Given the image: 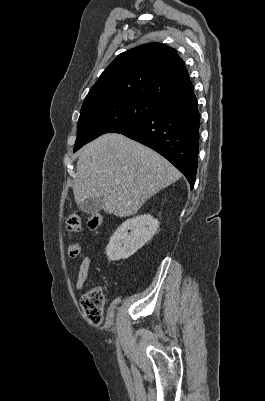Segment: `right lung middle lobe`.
Masks as SVG:
<instances>
[{"mask_svg": "<svg viewBox=\"0 0 265 401\" xmlns=\"http://www.w3.org/2000/svg\"><path fill=\"white\" fill-rule=\"evenodd\" d=\"M159 107V102L146 99L105 100L82 106L74 152L102 134L154 113Z\"/></svg>", "mask_w": 265, "mask_h": 401, "instance_id": "1", "label": "right lung middle lobe"}]
</instances>
